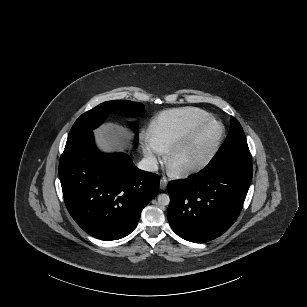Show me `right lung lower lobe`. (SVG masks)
I'll return each mask as SVG.
<instances>
[{
	"instance_id": "98d812e1",
	"label": "right lung lower lobe",
	"mask_w": 307,
	"mask_h": 307,
	"mask_svg": "<svg viewBox=\"0 0 307 307\" xmlns=\"http://www.w3.org/2000/svg\"><path fill=\"white\" fill-rule=\"evenodd\" d=\"M59 177L70 215L101 240L131 233L160 182L157 174L138 169L128 155L98 151L92 131L66 143Z\"/></svg>"
}]
</instances>
